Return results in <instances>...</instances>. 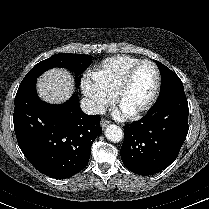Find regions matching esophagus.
Wrapping results in <instances>:
<instances>
[{
	"label": "esophagus",
	"mask_w": 209,
	"mask_h": 209,
	"mask_svg": "<svg viewBox=\"0 0 209 209\" xmlns=\"http://www.w3.org/2000/svg\"><path fill=\"white\" fill-rule=\"evenodd\" d=\"M108 124H109L108 120H106V119H102L101 120V127H102V129H104Z\"/></svg>",
	"instance_id": "esophagus-1"
}]
</instances>
